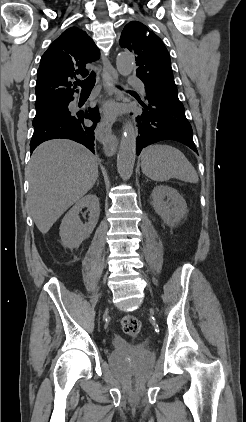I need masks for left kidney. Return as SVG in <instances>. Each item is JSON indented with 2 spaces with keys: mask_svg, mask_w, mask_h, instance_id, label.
I'll list each match as a JSON object with an SVG mask.
<instances>
[{
  "mask_svg": "<svg viewBox=\"0 0 246 422\" xmlns=\"http://www.w3.org/2000/svg\"><path fill=\"white\" fill-rule=\"evenodd\" d=\"M151 195V204L155 213L167 225L173 226L186 217L188 213L186 201L176 189L167 185H158L154 187Z\"/></svg>",
  "mask_w": 246,
  "mask_h": 422,
  "instance_id": "obj_1",
  "label": "left kidney"
}]
</instances>
